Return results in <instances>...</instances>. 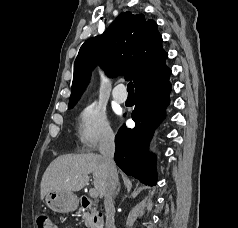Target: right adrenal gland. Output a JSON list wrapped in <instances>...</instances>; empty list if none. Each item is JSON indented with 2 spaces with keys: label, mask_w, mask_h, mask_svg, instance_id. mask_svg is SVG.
<instances>
[{
  "label": "right adrenal gland",
  "mask_w": 238,
  "mask_h": 228,
  "mask_svg": "<svg viewBox=\"0 0 238 228\" xmlns=\"http://www.w3.org/2000/svg\"><path fill=\"white\" fill-rule=\"evenodd\" d=\"M120 183L118 184V187H117V190H116V192H115V196H117L118 194H119V192H120Z\"/></svg>",
  "instance_id": "obj_1"
}]
</instances>
